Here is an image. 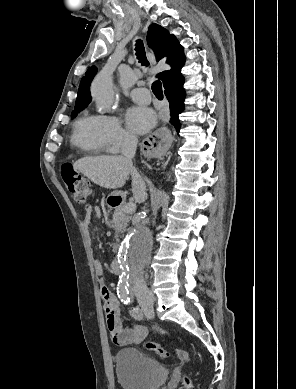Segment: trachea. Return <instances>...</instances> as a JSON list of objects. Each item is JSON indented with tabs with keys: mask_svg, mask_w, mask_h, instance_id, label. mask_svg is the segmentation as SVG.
<instances>
[{
	"mask_svg": "<svg viewBox=\"0 0 296 389\" xmlns=\"http://www.w3.org/2000/svg\"><path fill=\"white\" fill-rule=\"evenodd\" d=\"M135 45L137 59L143 66H149L143 41L138 39ZM151 89L158 99L163 98L162 84L160 81L153 82Z\"/></svg>",
	"mask_w": 296,
	"mask_h": 389,
	"instance_id": "obj_1",
	"label": "trachea"
}]
</instances>
